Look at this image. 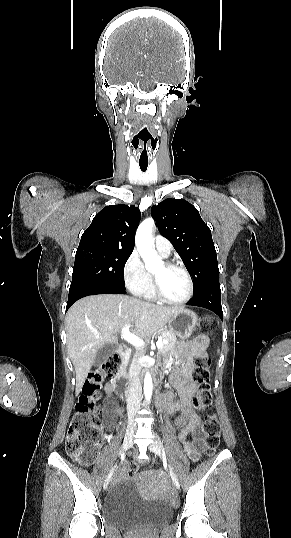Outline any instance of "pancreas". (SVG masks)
I'll return each instance as SVG.
<instances>
[{"instance_id": "cf45deb5", "label": "pancreas", "mask_w": 291, "mask_h": 538, "mask_svg": "<svg viewBox=\"0 0 291 538\" xmlns=\"http://www.w3.org/2000/svg\"><path fill=\"white\" fill-rule=\"evenodd\" d=\"M161 338L162 339H166L168 341L167 344H163L161 348H159V351L161 353H165L169 350H171L173 347H174V344L176 343V336L175 334H173L172 332L170 331H167V330H163L160 334ZM144 353V350L142 349H137L136 350V353H135V356H139V355H142ZM127 362V359L124 360V363L126 364Z\"/></svg>"}]
</instances>
